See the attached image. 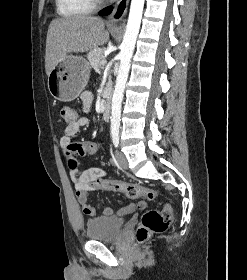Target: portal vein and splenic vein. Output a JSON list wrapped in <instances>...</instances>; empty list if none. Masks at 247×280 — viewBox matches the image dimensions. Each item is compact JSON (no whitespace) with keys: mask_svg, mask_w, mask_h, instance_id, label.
<instances>
[{"mask_svg":"<svg viewBox=\"0 0 247 280\" xmlns=\"http://www.w3.org/2000/svg\"><path fill=\"white\" fill-rule=\"evenodd\" d=\"M106 64V61H102V65L104 66Z\"/></svg>","mask_w":247,"mask_h":280,"instance_id":"1","label":"portal vein and splenic vein"}]
</instances>
